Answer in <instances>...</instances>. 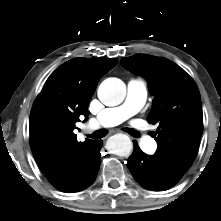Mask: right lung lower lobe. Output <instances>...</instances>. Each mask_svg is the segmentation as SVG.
<instances>
[{"mask_svg":"<svg viewBox=\"0 0 221 221\" xmlns=\"http://www.w3.org/2000/svg\"><path fill=\"white\" fill-rule=\"evenodd\" d=\"M102 140L94 141L80 160L73 174L62 184L53 185L57 189L72 193L87 188L96 178L101 154Z\"/></svg>","mask_w":221,"mask_h":221,"instance_id":"right-lung-lower-lobe-1","label":"right lung lower lobe"}]
</instances>
